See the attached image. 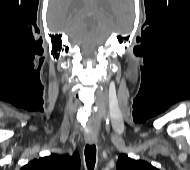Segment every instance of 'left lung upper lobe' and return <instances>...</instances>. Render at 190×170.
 Returning a JSON list of instances; mask_svg holds the SVG:
<instances>
[{
  "instance_id": "left-lung-upper-lobe-1",
  "label": "left lung upper lobe",
  "mask_w": 190,
  "mask_h": 170,
  "mask_svg": "<svg viewBox=\"0 0 190 170\" xmlns=\"http://www.w3.org/2000/svg\"><path fill=\"white\" fill-rule=\"evenodd\" d=\"M117 170H158L150 163L142 160H134L126 154L119 156L117 161Z\"/></svg>"
}]
</instances>
